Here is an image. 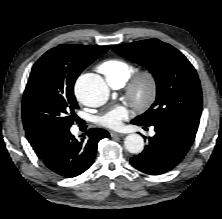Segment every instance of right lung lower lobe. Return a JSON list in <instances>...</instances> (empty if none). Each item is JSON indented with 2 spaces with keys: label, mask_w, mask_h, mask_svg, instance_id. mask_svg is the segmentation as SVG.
Segmentation results:
<instances>
[{
  "label": "right lung lower lobe",
  "mask_w": 222,
  "mask_h": 219,
  "mask_svg": "<svg viewBox=\"0 0 222 219\" xmlns=\"http://www.w3.org/2000/svg\"><path fill=\"white\" fill-rule=\"evenodd\" d=\"M87 135V140H77L69 130L59 135L49 150L41 156L46 167L68 178L85 172L94 162L98 142L109 137V133L95 128L90 129Z\"/></svg>",
  "instance_id": "right-lung-lower-lobe-1"
}]
</instances>
